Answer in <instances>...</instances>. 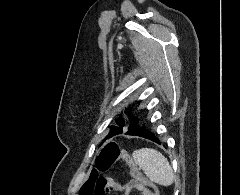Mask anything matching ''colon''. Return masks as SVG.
Listing matches in <instances>:
<instances>
[{
  "label": "colon",
  "instance_id": "colon-1",
  "mask_svg": "<svg viewBox=\"0 0 240 195\" xmlns=\"http://www.w3.org/2000/svg\"><path fill=\"white\" fill-rule=\"evenodd\" d=\"M118 160L127 162L128 166L132 167L134 176L140 183L146 182V177L140 171V168L135 165V160L130 154H122L119 146L112 141H107L97 155L96 163L100 170L111 169ZM119 189L118 184L93 170L83 185V192L80 195H107L109 192H114ZM152 192L158 191L157 185L151 186Z\"/></svg>",
  "mask_w": 240,
  "mask_h": 195
}]
</instances>
